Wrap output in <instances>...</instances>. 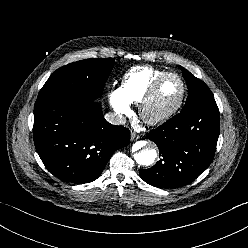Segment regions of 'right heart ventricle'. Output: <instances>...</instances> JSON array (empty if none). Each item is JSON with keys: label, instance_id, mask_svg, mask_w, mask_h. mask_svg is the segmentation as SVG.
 I'll return each mask as SVG.
<instances>
[{"label": "right heart ventricle", "instance_id": "e07e8e85", "mask_svg": "<svg viewBox=\"0 0 248 248\" xmlns=\"http://www.w3.org/2000/svg\"><path fill=\"white\" fill-rule=\"evenodd\" d=\"M164 73L150 66L133 67L124 75L121 90L130 103H141L154 81Z\"/></svg>", "mask_w": 248, "mask_h": 248}]
</instances>
